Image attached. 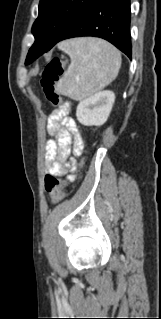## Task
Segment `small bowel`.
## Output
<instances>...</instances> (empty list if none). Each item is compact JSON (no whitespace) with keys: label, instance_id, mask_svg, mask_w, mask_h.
<instances>
[{"label":"small bowel","instance_id":"c3829d8e","mask_svg":"<svg viewBox=\"0 0 161 319\" xmlns=\"http://www.w3.org/2000/svg\"><path fill=\"white\" fill-rule=\"evenodd\" d=\"M48 132L53 135L46 143L47 172L53 176H63L73 181L76 175H66L68 170L75 171L73 160L68 159L72 151L80 154L84 147V140L74 119L65 114L60 108L55 109L48 118Z\"/></svg>","mask_w":161,"mask_h":319}]
</instances>
